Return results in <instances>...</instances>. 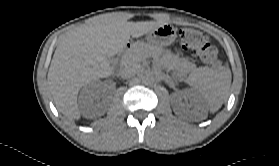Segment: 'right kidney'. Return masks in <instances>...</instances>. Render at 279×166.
<instances>
[{"label":"right kidney","instance_id":"obj_1","mask_svg":"<svg viewBox=\"0 0 279 166\" xmlns=\"http://www.w3.org/2000/svg\"><path fill=\"white\" fill-rule=\"evenodd\" d=\"M105 88L102 82L95 81L89 84L82 92L81 103L84 108L91 107L94 102L98 99V91Z\"/></svg>","mask_w":279,"mask_h":166}]
</instances>
